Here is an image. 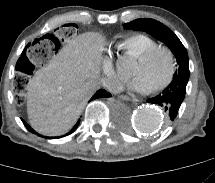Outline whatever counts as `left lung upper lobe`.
<instances>
[{
	"instance_id": "left-lung-upper-lobe-1",
	"label": "left lung upper lobe",
	"mask_w": 215,
	"mask_h": 183,
	"mask_svg": "<svg viewBox=\"0 0 215 183\" xmlns=\"http://www.w3.org/2000/svg\"><path fill=\"white\" fill-rule=\"evenodd\" d=\"M124 28L145 31L164 42L176 56L179 65L173 79L178 77L189 79L190 71L187 51L179 38L167 26L156 20L145 18L127 23L124 25Z\"/></svg>"
}]
</instances>
